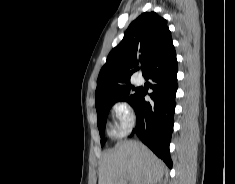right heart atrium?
<instances>
[{
    "label": "right heart atrium",
    "instance_id": "right-heart-atrium-1",
    "mask_svg": "<svg viewBox=\"0 0 235 184\" xmlns=\"http://www.w3.org/2000/svg\"><path fill=\"white\" fill-rule=\"evenodd\" d=\"M111 119L107 123V134L112 138H121L132 128L134 112L124 100H117L110 106Z\"/></svg>",
    "mask_w": 235,
    "mask_h": 184
}]
</instances>
